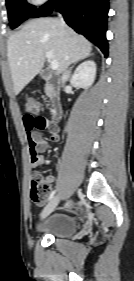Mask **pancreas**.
Wrapping results in <instances>:
<instances>
[{
    "mask_svg": "<svg viewBox=\"0 0 134 281\" xmlns=\"http://www.w3.org/2000/svg\"><path fill=\"white\" fill-rule=\"evenodd\" d=\"M46 94H47V95H50V91H49V88H48V87L46 88Z\"/></svg>",
    "mask_w": 134,
    "mask_h": 281,
    "instance_id": "1",
    "label": "pancreas"
}]
</instances>
